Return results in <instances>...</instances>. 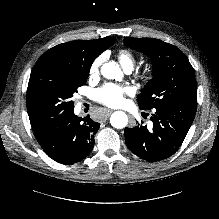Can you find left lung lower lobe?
I'll use <instances>...</instances> for the list:
<instances>
[{
    "instance_id": "left-lung-lower-lobe-1",
    "label": "left lung lower lobe",
    "mask_w": 219,
    "mask_h": 219,
    "mask_svg": "<svg viewBox=\"0 0 219 219\" xmlns=\"http://www.w3.org/2000/svg\"><path fill=\"white\" fill-rule=\"evenodd\" d=\"M197 101L156 108L153 126L126 127L125 143L138 157L156 162L173 155L181 146L196 114Z\"/></svg>"
}]
</instances>
